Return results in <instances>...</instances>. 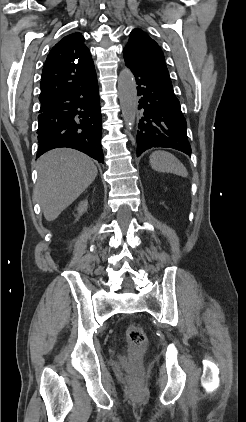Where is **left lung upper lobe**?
I'll use <instances>...</instances> for the list:
<instances>
[{
    "mask_svg": "<svg viewBox=\"0 0 246 422\" xmlns=\"http://www.w3.org/2000/svg\"><path fill=\"white\" fill-rule=\"evenodd\" d=\"M124 55L132 58L149 72L172 86L164 61V54L158 44L145 32L134 29L125 46Z\"/></svg>",
    "mask_w": 246,
    "mask_h": 422,
    "instance_id": "obj_1",
    "label": "left lung upper lobe"
}]
</instances>
